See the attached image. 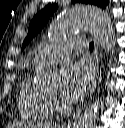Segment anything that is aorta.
I'll list each match as a JSON object with an SVG mask.
<instances>
[{"label":"aorta","instance_id":"762f6f07","mask_svg":"<svg viewBox=\"0 0 125 128\" xmlns=\"http://www.w3.org/2000/svg\"><path fill=\"white\" fill-rule=\"evenodd\" d=\"M81 31H89L105 51L111 52L114 50L115 34L111 19L100 8L87 4H77L64 11L50 26L48 36L58 38ZM58 82L59 75L50 67L37 70L36 84L41 89H53L57 87ZM99 108L100 100L98 98L81 115L73 128H94Z\"/></svg>","mask_w":125,"mask_h":128}]
</instances>
